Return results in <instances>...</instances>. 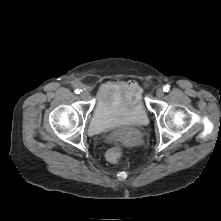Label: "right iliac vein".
I'll return each mask as SVG.
<instances>
[{
	"label": "right iliac vein",
	"mask_w": 221,
	"mask_h": 221,
	"mask_svg": "<svg viewBox=\"0 0 221 221\" xmlns=\"http://www.w3.org/2000/svg\"><path fill=\"white\" fill-rule=\"evenodd\" d=\"M89 96V93L87 91H82L81 94H80V97L82 99H87Z\"/></svg>",
	"instance_id": "right-iliac-vein-1"
}]
</instances>
